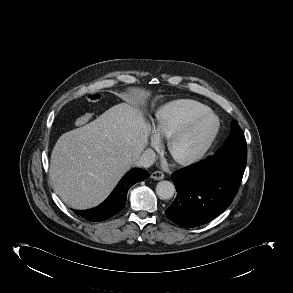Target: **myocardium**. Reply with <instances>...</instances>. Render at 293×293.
Returning a JSON list of instances; mask_svg holds the SVG:
<instances>
[{
	"label": "myocardium",
	"instance_id": "obj_1",
	"mask_svg": "<svg viewBox=\"0 0 293 293\" xmlns=\"http://www.w3.org/2000/svg\"><path fill=\"white\" fill-rule=\"evenodd\" d=\"M208 121L211 124L210 130L206 138L204 139L200 148L192 155L188 157H177L174 153V147L176 143L185 137L189 132H191L199 124ZM220 130L219 118L212 112L208 111L199 114L189 120L185 125L173 133L167 141V149L171 156L181 165L188 166L200 161L205 154L208 152L212 144L214 143Z\"/></svg>",
	"mask_w": 293,
	"mask_h": 293
}]
</instances>
